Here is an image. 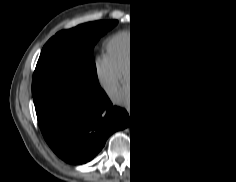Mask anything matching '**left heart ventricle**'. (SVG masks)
Segmentation results:
<instances>
[{
  "label": "left heart ventricle",
  "mask_w": 236,
  "mask_h": 182,
  "mask_svg": "<svg viewBox=\"0 0 236 182\" xmlns=\"http://www.w3.org/2000/svg\"><path fill=\"white\" fill-rule=\"evenodd\" d=\"M164 53L162 48H158L154 50L151 54L147 62H145L144 66L137 70V76L140 80H142L143 84L145 82L154 81L158 73L161 71V67L163 65Z\"/></svg>",
  "instance_id": "b2bd125f"
}]
</instances>
